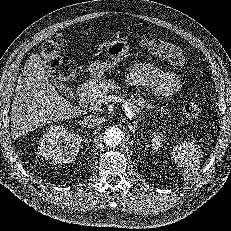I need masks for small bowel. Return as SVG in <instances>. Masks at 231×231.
Masks as SVG:
<instances>
[{"mask_svg":"<svg viewBox=\"0 0 231 231\" xmlns=\"http://www.w3.org/2000/svg\"><path fill=\"white\" fill-rule=\"evenodd\" d=\"M127 80L132 85L144 87L154 95H173L181 89V80L175 72L160 70L150 63L133 64Z\"/></svg>","mask_w":231,"mask_h":231,"instance_id":"c3829d8e","label":"small bowel"}]
</instances>
